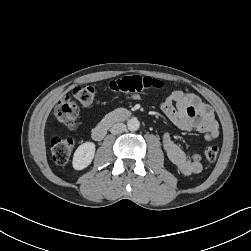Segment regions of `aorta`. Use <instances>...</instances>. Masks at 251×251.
Listing matches in <instances>:
<instances>
[{"instance_id": "1", "label": "aorta", "mask_w": 251, "mask_h": 251, "mask_svg": "<svg viewBox=\"0 0 251 251\" xmlns=\"http://www.w3.org/2000/svg\"><path fill=\"white\" fill-rule=\"evenodd\" d=\"M127 127L130 131H137L140 128V122L137 118H131L127 121Z\"/></svg>"}]
</instances>
